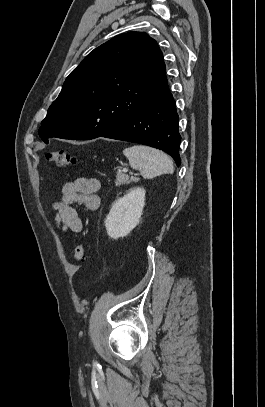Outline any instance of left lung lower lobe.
I'll return each mask as SVG.
<instances>
[{"instance_id": "left-lung-lower-lobe-1", "label": "left lung lower lobe", "mask_w": 265, "mask_h": 407, "mask_svg": "<svg viewBox=\"0 0 265 407\" xmlns=\"http://www.w3.org/2000/svg\"><path fill=\"white\" fill-rule=\"evenodd\" d=\"M179 117L175 100L167 87L157 98L147 103L102 137L145 144L161 149L180 165L178 132Z\"/></svg>"}]
</instances>
